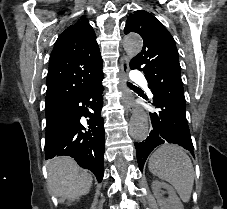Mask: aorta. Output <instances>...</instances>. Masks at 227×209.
<instances>
[{
	"label": "aorta",
	"instance_id": "1",
	"mask_svg": "<svg viewBox=\"0 0 227 209\" xmlns=\"http://www.w3.org/2000/svg\"><path fill=\"white\" fill-rule=\"evenodd\" d=\"M123 47L129 57L133 58L139 54L143 47V41L137 34H131L124 38ZM149 132V120L143 111H137L131 119L130 133L137 141L146 139Z\"/></svg>",
	"mask_w": 227,
	"mask_h": 209
}]
</instances>
